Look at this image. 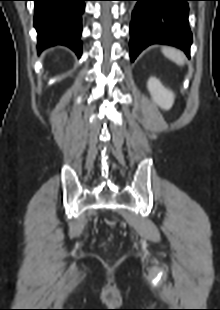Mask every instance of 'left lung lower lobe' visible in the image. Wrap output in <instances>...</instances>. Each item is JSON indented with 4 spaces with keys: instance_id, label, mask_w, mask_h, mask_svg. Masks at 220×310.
<instances>
[{
    "instance_id": "left-lung-lower-lobe-1",
    "label": "left lung lower lobe",
    "mask_w": 220,
    "mask_h": 310,
    "mask_svg": "<svg viewBox=\"0 0 220 310\" xmlns=\"http://www.w3.org/2000/svg\"><path fill=\"white\" fill-rule=\"evenodd\" d=\"M136 1L130 25V58L134 61L152 44L172 45L190 55L192 34L189 28L187 1L191 0H127Z\"/></svg>"
}]
</instances>
